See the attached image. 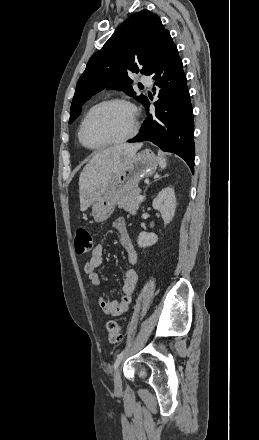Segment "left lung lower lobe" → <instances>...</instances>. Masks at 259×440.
<instances>
[{"label":"left lung lower lobe","mask_w":259,"mask_h":440,"mask_svg":"<svg viewBox=\"0 0 259 440\" xmlns=\"http://www.w3.org/2000/svg\"><path fill=\"white\" fill-rule=\"evenodd\" d=\"M157 88L156 111L148 115L139 134L129 142L150 141L183 158L194 172L193 111L182 61L170 34L148 70ZM149 101L144 104L149 109Z\"/></svg>","instance_id":"0a47b994"}]
</instances>
